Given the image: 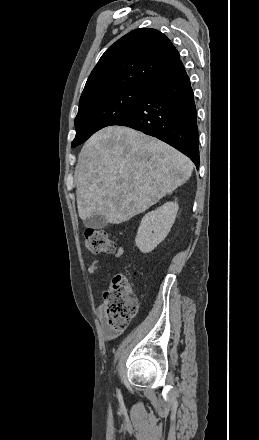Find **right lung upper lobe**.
<instances>
[{
  "instance_id": "1",
  "label": "right lung upper lobe",
  "mask_w": 259,
  "mask_h": 440,
  "mask_svg": "<svg viewBox=\"0 0 259 440\" xmlns=\"http://www.w3.org/2000/svg\"><path fill=\"white\" fill-rule=\"evenodd\" d=\"M179 61L177 49L164 34L151 28L133 30L102 55L86 82L79 106L119 89L148 88Z\"/></svg>"
}]
</instances>
